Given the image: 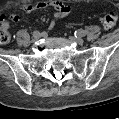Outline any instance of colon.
<instances>
[{
    "label": "colon",
    "instance_id": "colon-1",
    "mask_svg": "<svg viewBox=\"0 0 119 119\" xmlns=\"http://www.w3.org/2000/svg\"><path fill=\"white\" fill-rule=\"evenodd\" d=\"M101 22L106 29H112L117 23V15L115 13H107L101 18ZM10 33L8 29L1 26L0 28V43L6 44L10 41Z\"/></svg>",
    "mask_w": 119,
    "mask_h": 119
}]
</instances>
